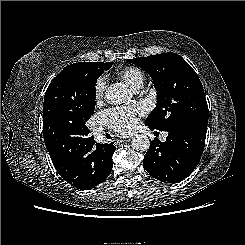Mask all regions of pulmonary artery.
Returning <instances> with one entry per match:
<instances>
[{
  "instance_id": "pulmonary-artery-1",
  "label": "pulmonary artery",
  "mask_w": 245,
  "mask_h": 245,
  "mask_svg": "<svg viewBox=\"0 0 245 245\" xmlns=\"http://www.w3.org/2000/svg\"><path fill=\"white\" fill-rule=\"evenodd\" d=\"M101 133H102L101 130L96 131L97 136L101 135ZM165 138H166V134L163 135V139H165Z\"/></svg>"
}]
</instances>
